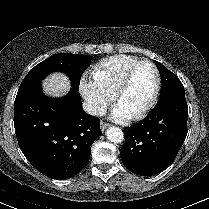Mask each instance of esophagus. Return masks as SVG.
Instances as JSON below:
<instances>
[{
	"instance_id": "obj_1",
	"label": "esophagus",
	"mask_w": 209,
	"mask_h": 209,
	"mask_svg": "<svg viewBox=\"0 0 209 209\" xmlns=\"http://www.w3.org/2000/svg\"><path fill=\"white\" fill-rule=\"evenodd\" d=\"M100 127H101V130L104 131L108 127V124L102 121L100 123Z\"/></svg>"
}]
</instances>
